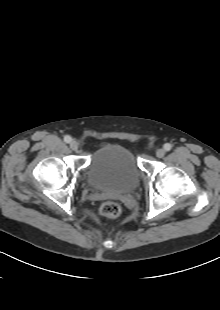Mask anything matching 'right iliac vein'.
Here are the masks:
<instances>
[{
  "label": "right iliac vein",
  "instance_id": "63e3f726",
  "mask_svg": "<svg viewBox=\"0 0 220 310\" xmlns=\"http://www.w3.org/2000/svg\"><path fill=\"white\" fill-rule=\"evenodd\" d=\"M70 148H71L72 150H74V151H77L78 148H79V145H78V143H77L76 141H72V142L70 143Z\"/></svg>",
  "mask_w": 220,
  "mask_h": 310
}]
</instances>
